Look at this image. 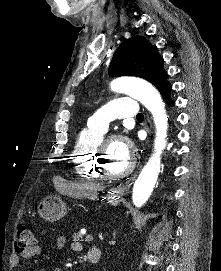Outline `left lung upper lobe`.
I'll list each match as a JSON object with an SVG mask.
<instances>
[{"mask_svg": "<svg viewBox=\"0 0 221 271\" xmlns=\"http://www.w3.org/2000/svg\"><path fill=\"white\" fill-rule=\"evenodd\" d=\"M110 76H137L151 82L158 90L169 84L163 69V58L157 47L145 38L135 36L125 40L116 50L109 65Z\"/></svg>", "mask_w": 221, "mask_h": 271, "instance_id": "left-lung-upper-lobe-1", "label": "left lung upper lobe"}]
</instances>
